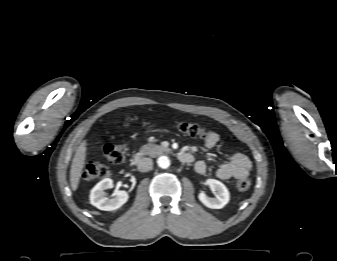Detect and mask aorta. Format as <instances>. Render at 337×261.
Here are the masks:
<instances>
[{
	"label": "aorta",
	"mask_w": 337,
	"mask_h": 261,
	"mask_svg": "<svg viewBox=\"0 0 337 261\" xmlns=\"http://www.w3.org/2000/svg\"><path fill=\"white\" fill-rule=\"evenodd\" d=\"M157 164L160 168L166 169L170 166V160L167 156H160L157 160Z\"/></svg>",
	"instance_id": "1"
}]
</instances>
